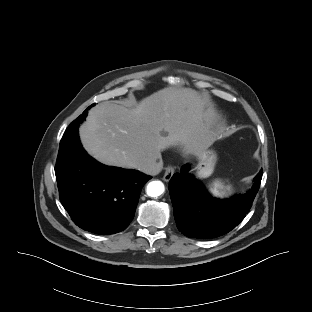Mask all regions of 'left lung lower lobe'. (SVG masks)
Returning <instances> with one entry per match:
<instances>
[{
  "label": "left lung lower lobe",
  "instance_id": "1",
  "mask_svg": "<svg viewBox=\"0 0 312 312\" xmlns=\"http://www.w3.org/2000/svg\"><path fill=\"white\" fill-rule=\"evenodd\" d=\"M188 170L189 165H184L169 182L174 218L181 233L189 238L209 239L235 228L252 206L260 187L262 170L247 193L227 200L210 196Z\"/></svg>",
  "mask_w": 312,
  "mask_h": 312
}]
</instances>
